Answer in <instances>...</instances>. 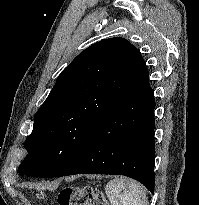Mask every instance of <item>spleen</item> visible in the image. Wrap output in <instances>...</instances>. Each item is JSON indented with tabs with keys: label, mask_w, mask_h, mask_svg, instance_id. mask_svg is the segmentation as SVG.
I'll list each match as a JSON object with an SVG mask.
<instances>
[{
	"label": "spleen",
	"mask_w": 199,
	"mask_h": 205,
	"mask_svg": "<svg viewBox=\"0 0 199 205\" xmlns=\"http://www.w3.org/2000/svg\"><path fill=\"white\" fill-rule=\"evenodd\" d=\"M105 190L112 205H148L144 188L133 180L115 178Z\"/></svg>",
	"instance_id": "obj_1"
}]
</instances>
